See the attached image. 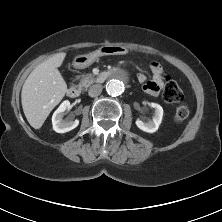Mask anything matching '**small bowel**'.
I'll return each instance as SVG.
<instances>
[{
    "mask_svg": "<svg viewBox=\"0 0 222 222\" xmlns=\"http://www.w3.org/2000/svg\"><path fill=\"white\" fill-rule=\"evenodd\" d=\"M150 69L153 74L151 80L147 81L144 74H139L138 80L143 84V88L146 93L150 95H157L164 85L163 67L158 62H153L150 65Z\"/></svg>",
    "mask_w": 222,
    "mask_h": 222,
    "instance_id": "small-bowel-1",
    "label": "small bowel"
}]
</instances>
